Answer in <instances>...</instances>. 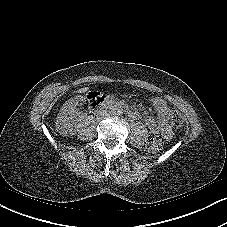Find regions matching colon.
Returning a JSON list of instances; mask_svg holds the SVG:
<instances>
[{
    "label": "colon",
    "instance_id": "5ec220e1",
    "mask_svg": "<svg viewBox=\"0 0 227 227\" xmlns=\"http://www.w3.org/2000/svg\"><path fill=\"white\" fill-rule=\"evenodd\" d=\"M93 93V92H91ZM90 93V94H91ZM171 124L174 128H180L183 125L182 115L178 111H172L171 113ZM164 140L162 136H153L146 144V150L150 153H157L162 150Z\"/></svg>",
    "mask_w": 227,
    "mask_h": 227
}]
</instances>
